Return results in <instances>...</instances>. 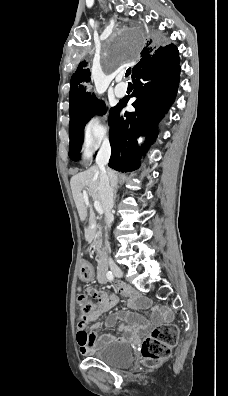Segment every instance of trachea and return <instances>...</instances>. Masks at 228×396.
Returning a JSON list of instances; mask_svg holds the SVG:
<instances>
[{
  "label": "trachea",
  "mask_w": 228,
  "mask_h": 396,
  "mask_svg": "<svg viewBox=\"0 0 228 396\" xmlns=\"http://www.w3.org/2000/svg\"><path fill=\"white\" fill-rule=\"evenodd\" d=\"M131 74V69H127L125 76L128 77Z\"/></svg>",
  "instance_id": "trachea-1"
}]
</instances>
